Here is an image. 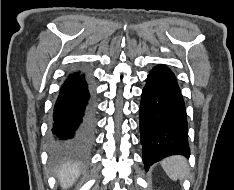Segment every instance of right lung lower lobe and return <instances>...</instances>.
Masks as SVG:
<instances>
[{"label":"right lung lower lobe","instance_id":"1","mask_svg":"<svg viewBox=\"0 0 234 190\" xmlns=\"http://www.w3.org/2000/svg\"><path fill=\"white\" fill-rule=\"evenodd\" d=\"M95 129V103L84 73L72 72L60 88L52 123V147L58 151L84 148Z\"/></svg>","mask_w":234,"mask_h":190}]
</instances>
